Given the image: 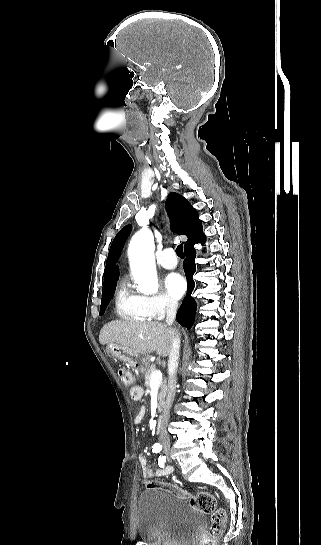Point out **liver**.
Returning a JSON list of instances; mask_svg holds the SVG:
<instances>
[{"label":"liver","instance_id":"obj_1","mask_svg":"<svg viewBox=\"0 0 321 545\" xmlns=\"http://www.w3.org/2000/svg\"><path fill=\"white\" fill-rule=\"evenodd\" d=\"M176 337V329H167L159 321H111L102 327L99 343H117L142 355L156 351L159 357H168Z\"/></svg>","mask_w":321,"mask_h":545}]
</instances>
